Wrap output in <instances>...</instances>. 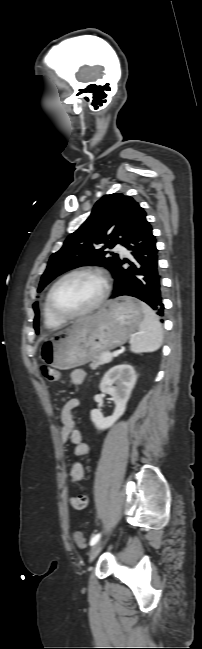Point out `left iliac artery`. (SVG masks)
I'll list each match as a JSON object with an SVG mask.
<instances>
[{
  "instance_id": "obj_1",
  "label": "left iliac artery",
  "mask_w": 202,
  "mask_h": 649,
  "mask_svg": "<svg viewBox=\"0 0 202 649\" xmlns=\"http://www.w3.org/2000/svg\"><path fill=\"white\" fill-rule=\"evenodd\" d=\"M100 536H101L100 533L94 535L90 540V545L93 546L94 544H96L99 541Z\"/></svg>"
}]
</instances>
